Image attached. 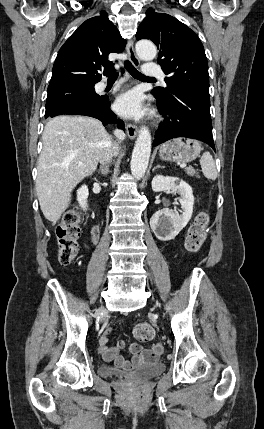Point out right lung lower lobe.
I'll use <instances>...</instances> for the list:
<instances>
[{"mask_svg": "<svg viewBox=\"0 0 264 429\" xmlns=\"http://www.w3.org/2000/svg\"><path fill=\"white\" fill-rule=\"evenodd\" d=\"M63 114L94 117L99 119L103 125L117 123L118 128L124 130V123L117 119L116 115L110 110L108 97H102L99 101L79 99L67 102L48 114L46 118Z\"/></svg>", "mask_w": 264, "mask_h": 429, "instance_id": "98d812e1", "label": "right lung lower lobe"}]
</instances>
